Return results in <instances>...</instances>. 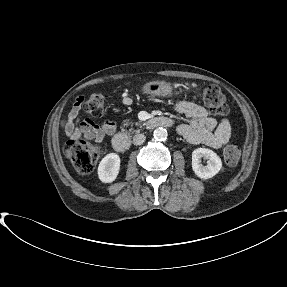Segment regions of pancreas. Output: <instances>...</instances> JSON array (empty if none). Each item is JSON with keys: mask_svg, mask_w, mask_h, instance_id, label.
I'll use <instances>...</instances> for the list:
<instances>
[{"mask_svg": "<svg viewBox=\"0 0 287 287\" xmlns=\"http://www.w3.org/2000/svg\"><path fill=\"white\" fill-rule=\"evenodd\" d=\"M128 124H129V123H128V122H126V123H124V125H123V126H124V127H125V126H128ZM136 125H137V126H139V125H140V123H138V122H137V123H136Z\"/></svg>", "mask_w": 287, "mask_h": 287, "instance_id": "obj_1", "label": "pancreas"}]
</instances>
